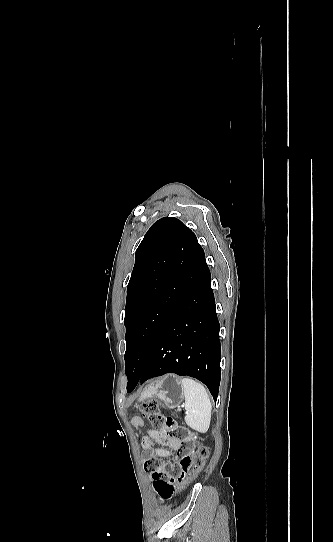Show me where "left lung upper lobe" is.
<instances>
[{
  "label": "left lung upper lobe",
  "mask_w": 333,
  "mask_h": 542,
  "mask_svg": "<svg viewBox=\"0 0 333 542\" xmlns=\"http://www.w3.org/2000/svg\"><path fill=\"white\" fill-rule=\"evenodd\" d=\"M206 266L195 234L180 220L156 221L136 250L125 307V373L136 378L168 318Z\"/></svg>",
  "instance_id": "left-lung-upper-lobe-1"
}]
</instances>
